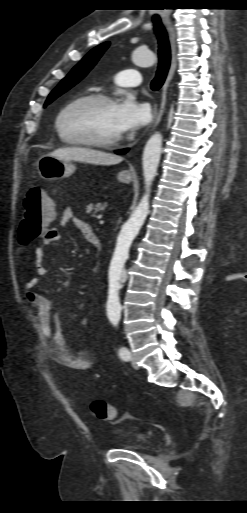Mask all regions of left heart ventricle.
<instances>
[{
	"label": "left heart ventricle",
	"mask_w": 247,
	"mask_h": 513,
	"mask_svg": "<svg viewBox=\"0 0 247 513\" xmlns=\"http://www.w3.org/2000/svg\"><path fill=\"white\" fill-rule=\"evenodd\" d=\"M115 103L96 101L73 105L61 121L67 137L109 140L121 136L115 118Z\"/></svg>",
	"instance_id": "b2bd125f"
}]
</instances>
